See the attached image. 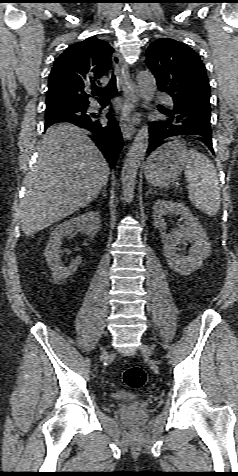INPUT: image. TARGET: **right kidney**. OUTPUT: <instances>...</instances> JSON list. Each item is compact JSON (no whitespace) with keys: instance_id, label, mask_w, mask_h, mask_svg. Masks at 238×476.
<instances>
[{"instance_id":"obj_1","label":"right kidney","mask_w":238,"mask_h":476,"mask_svg":"<svg viewBox=\"0 0 238 476\" xmlns=\"http://www.w3.org/2000/svg\"><path fill=\"white\" fill-rule=\"evenodd\" d=\"M99 225V213L90 211L64 221L52 232L44 252L52 275L56 280H64L71 276L82 262V258L77 256L70 265L65 266L62 264V250L60 249L62 240L78 232H83L85 235L93 237L97 233Z\"/></svg>"}]
</instances>
